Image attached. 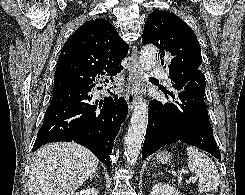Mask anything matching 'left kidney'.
<instances>
[{
    "instance_id": "obj_1",
    "label": "left kidney",
    "mask_w": 245,
    "mask_h": 195,
    "mask_svg": "<svg viewBox=\"0 0 245 195\" xmlns=\"http://www.w3.org/2000/svg\"><path fill=\"white\" fill-rule=\"evenodd\" d=\"M150 195H181L178 190L168 184L158 183L152 188Z\"/></svg>"
}]
</instances>
